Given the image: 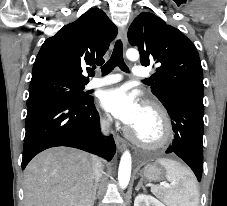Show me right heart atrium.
<instances>
[{
	"instance_id": "right-heart-atrium-1",
	"label": "right heart atrium",
	"mask_w": 227,
	"mask_h": 206,
	"mask_svg": "<svg viewBox=\"0 0 227 206\" xmlns=\"http://www.w3.org/2000/svg\"><path fill=\"white\" fill-rule=\"evenodd\" d=\"M100 123L103 127H107L110 123V118L108 116L104 115L100 118Z\"/></svg>"
}]
</instances>
